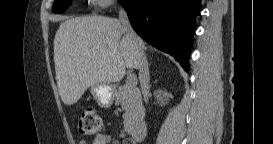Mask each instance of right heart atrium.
<instances>
[{
	"label": "right heart atrium",
	"mask_w": 273,
	"mask_h": 144,
	"mask_svg": "<svg viewBox=\"0 0 273 144\" xmlns=\"http://www.w3.org/2000/svg\"><path fill=\"white\" fill-rule=\"evenodd\" d=\"M95 6L103 11L115 6L118 2L116 0H94Z\"/></svg>",
	"instance_id": "right-heart-atrium-1"
}]
</instances>
